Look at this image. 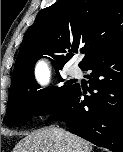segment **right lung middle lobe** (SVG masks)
<instances>
[{
    "label": "right lung middle lobe",
    "instance_id": "right-lung-middle-lobe-1",
    "mask_svg": "<svg viewBox=\"0 0 123 152\" xmlns=\"http://www.w3.org/2000/svg\"><path fill=\"white\" fill-rule=\"evenodd\" d=\"M65 84L59 88L49 86L45 89H40L35 80L23 84L17 91L9 95L4 123L15 126L28 121L34 115H48L57 112L77 87L71 81H67Z\"/></svg>",
    "mask_w": 123,
    "mask_h": 152
}]
</instances>
